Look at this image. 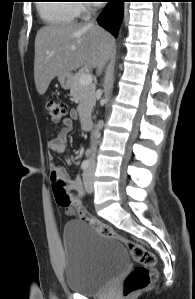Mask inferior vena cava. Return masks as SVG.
<instances>
[{
  "label": "inferior vena cava",
  "mask_w": 195,
  "mask_h": 299,
  "mask_svg": "<svg viewBox=\"0 0 195 299\" xmlns=\"http://www.w3.org/2000/svg\"><path fill=\"white\" fill-rule=\"evenodd\" d=\"M98 136V131L95 129L91 133V149H92V155L90 157L91 164H95V155H96V139Z\"/></svg>",
  "instance_id": "obj_1"
}]
</instances>
